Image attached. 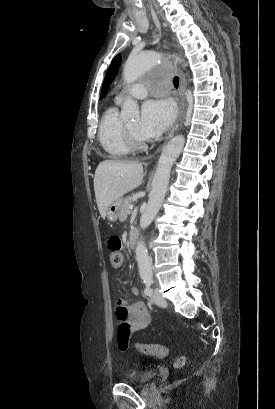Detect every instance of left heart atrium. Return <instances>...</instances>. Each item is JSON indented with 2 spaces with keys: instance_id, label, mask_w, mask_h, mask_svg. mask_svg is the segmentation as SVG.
Listing matches in <instances>:
<instances>
[{
  "instance_id": "39dd6f15",
  "label": "left heart atrium",
  "mask_w": 275,
  "mask_h": 409,
  "mask_svg": "<svg viewBox=\"0 0 275 409\" xmlns=\"http://www.w3.org/2000/svg\"><path fill=\"white\" fill-rule=\"evenodd\" d=\"M174 117L172 105L164 100H149L142 108L139 124L140 133L147 139L160 136Z\"/></svg>"
}]
</instances>
